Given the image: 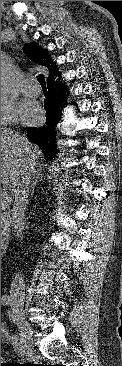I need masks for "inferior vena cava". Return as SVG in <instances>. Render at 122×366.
<instances>
[{"label":"inferior vena cava","instance_id":"inferior-vena-cava-1","mask_svg":"<svg viewBox=\"0 0 122 366\" xmlns=\"http://www.w3.org/2000/svg\"><path fill=\"white\" fill-rule=\"evenodd\" d=\"M31 173L26 168L21 174L20 179L16 182L12 189L14 196V205L11 212L10 224L14 228L17 238L22 239V231L25 225V212L28 204V196L31 184ZM24 284L21 278L15 277L11 283V296L20 297L24 299Z\"/></svg>","mask_w":122,"mask_h":366}]
</instances>
